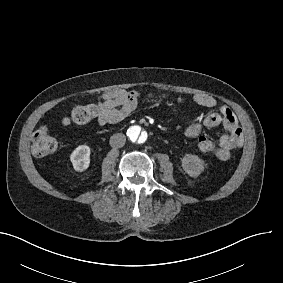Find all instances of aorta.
Segmentation results:
<instances>
[{
  "label": "aorta",
  "instance_id": "obj_1",
  "mask_svg": "<svg viewBox=\"0 0 283 283\" xmlns=\"http://www.w3.org/2000/svg\"><path fill=\"white\" fill-rule=\"evenodd\" d=\"M129 140L136 144H144L148 139V133L138 125L131 126L127 130Z\"/></svg>",
  "mask_w": 283,
  "mask_h": 283
}]
</instances>
